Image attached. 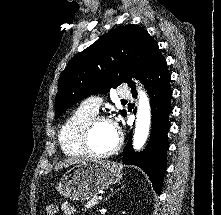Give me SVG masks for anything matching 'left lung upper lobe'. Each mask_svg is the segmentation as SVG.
<instances>
[{"label":"left lung upper lobe","instance_id":"left-lung-upper-lobe-1","mask_svg":"<svg viewBox=\"0 0 221 215\" xmlns=\"http://www.w3.org/2000/svg\"><path fill=\"white\" fill-rule=\"evenodd\" d=\"M164 57L148 32L126 25L101 36L95 43L75 55L59 78L55 99L57 119L68 107L90 94H106L112 87L135 84ZM123 116L125 111H120Z\"/></svg>","mask_w":221,"mask_h":215}]
</instances>
